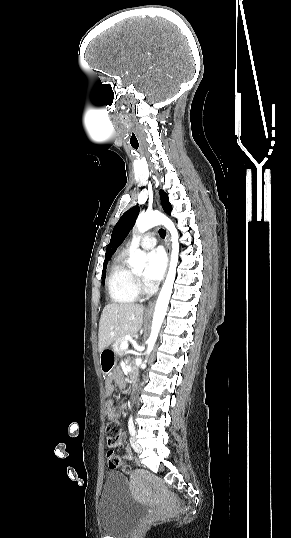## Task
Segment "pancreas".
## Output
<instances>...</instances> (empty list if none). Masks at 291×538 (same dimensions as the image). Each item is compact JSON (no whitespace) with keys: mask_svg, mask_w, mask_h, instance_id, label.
<instances>
[{"mask_svg":"<svg viewBox=\"0 0 291 538\" xmlns=\"http://www.w3.org/2000/svg\"><path fill=\"white\" fill-rule=\"evenodd\" d=\"M127 339L125 338H119L118 340H116L113 344V348L116 352L117 355H122L124 353V350L121 349V345L123 342H126Z\"/></svg>","mask_w":291,"mask_h":538,"instance_id":"cf45deb5","label":"pancreas"}]
</instances>
